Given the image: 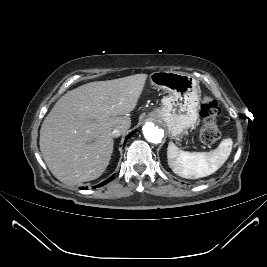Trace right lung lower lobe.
I'll list each match as a JSON object with an SVG mask.
<instances>
[{
  "mask_svg": "<svg viewBox=\"0 0 267 267\" xmlns=\"http://www.w3.org/2000/svg\"><path fill=\"white\" fill-rule=\"evenodd\" d=\"M134 132H135V131H134ZM134 132L130 133V134L126 137V140H127V139H128ZM126 140H125V142H126ZM114 176H115V175L111 176V177L108 178L106 181H104V182H102L101 184L95 186L94 188L100 187V186H102V185L108 183L109 181L112 180V178H114ZM81 189H84V188L82 187ZM85 189H87V187H85Z\"/></svg>",
  "mask_w": 267,
  "mask_h": 267,
  "instance_id": "98d812e1",
  "label": "right lung lower lobe"
}]
</instances>
